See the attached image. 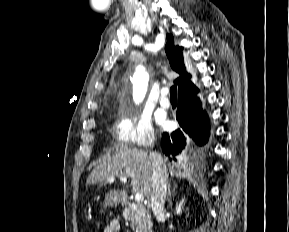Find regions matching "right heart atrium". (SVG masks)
Instances as JSON below:
<instances>
[{
  "instance_id": "d8ad5b80",
  "label": "right heart atrium",
  "mask_w": 289,
  "mask_h": 232,
  "mask_svg": "<svg viewBox=\"0 0 289 232\" xmlns=\"http://www.w3.org/2000/svg\"><path fill=\"white\" fill-rule=\"evenodd\" d=\"M115 142L124 147L146 148L155 141V131L147 117L121 116L113 126Z\"/></svg>"
}]
</instances>
